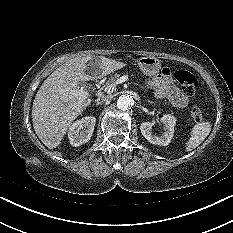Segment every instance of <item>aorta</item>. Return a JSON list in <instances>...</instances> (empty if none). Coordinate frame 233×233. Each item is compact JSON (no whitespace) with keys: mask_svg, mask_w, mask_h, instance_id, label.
<instances>
[{"mask_svg":"<svg viewBox=\"0 0 233 233\" xmlns=\"http://www.w3.org/2000/svg\"><path fill=\"white\" fill-rule=\"evenodd\" d=\"M134 104V100L129 95H122L117 100V107L120 110H128L130 109Z\"/></svg>","mask_w":233,"mask_h":233,"instance_id":"obj_1","label":"aorta"}]
</instances>
